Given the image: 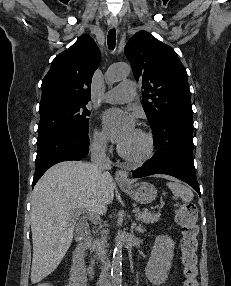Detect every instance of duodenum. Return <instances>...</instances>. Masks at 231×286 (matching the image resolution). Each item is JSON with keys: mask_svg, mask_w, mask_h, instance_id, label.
Masks as SVG:
<instances>
[{"mask_svg": "<svg viewBox=\"0 0 231 286\" xmlns=\"http://www.w3.org/2000/svg\"><path fill=\"white\" fill-rule=\"evenodd\" d=\"M88 246H89V235L85 233L79 239V243L74 250V257L77 264L84 270L85 274L89 278H94L95 271L84 263V254Z\"/></svg>", "mask_w": 231, "mask_h": 286, "instance_id": "1", "label": "duodenum"}]
</instances>
